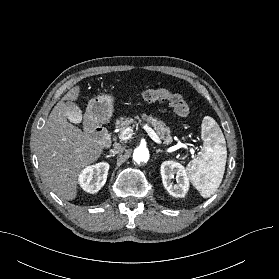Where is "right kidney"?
Returning <instances> with one entry per match:
<instances>
[{"instance_id":"1","label":"right kidney","mask_w":279,"mask_h":279,"mask_svg":"<svg viewBox=\"0 0 279 279\" xmlns=\"http://www.w3.org/2000/svg\"><path fill=\"white\" fill-rule=\"evenodd\" d=\"M108 171L109 164L107 162L87 166L79 174L78 182L84 191L97 193L106 183Z\"/></svg>"}]
</instances>
